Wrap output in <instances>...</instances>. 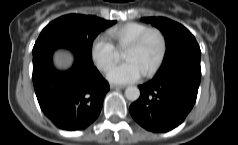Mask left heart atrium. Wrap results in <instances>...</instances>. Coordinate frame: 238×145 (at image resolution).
Here are the masks:
<instances>
[{
	"label": "left heart atrium",
	"instance_id": "left-heart-atrium-1",
	"mask_svg": "<svg viewBox=\"0 0 238 145\" xmlns=\"http://www.w3.org/2000/svg\"><path fill=\"white\" fill-rule=\"evenodd\" d=\"M141 68L132 60L113 66L107 72V78L114 83H130L137 81L143 75Z\"/></svg>",
	"mask_w": 238,
	"mask_h": 145
}]
</instances>
